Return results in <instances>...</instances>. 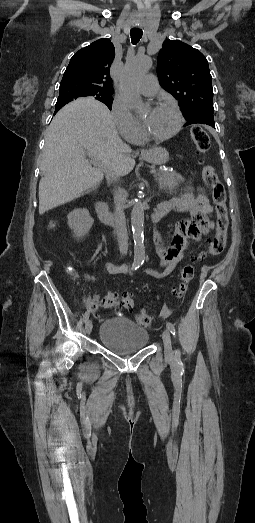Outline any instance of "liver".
I'll return each instance as SVG.
<instances>
[{"instance_id":"1","label":"liver","mask_w":255,"mask_h":523,"mask_svg":"<svg viewBox=\"0 0 255 523\" xmlns=\"http://www.w3.org/2000/svg\"><path fill=\"white\" fill-rule=\"evenodd\" d=\"M99 158L110 174L126 176L135 160L118 136L110 110L94 100L79 98L54 116L45 132L44 156L40 170L39 214L80 198L82 192L104 178L85 158Z\"/></svg>"}]
</instances>
